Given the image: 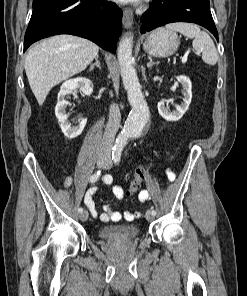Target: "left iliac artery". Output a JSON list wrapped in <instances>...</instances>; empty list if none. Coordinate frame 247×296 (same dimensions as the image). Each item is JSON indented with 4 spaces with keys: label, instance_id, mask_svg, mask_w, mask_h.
<instances>
[{
    "label": "left iliac artery",
    "instance_id": "44dca946",
    "mask_svg": "<svg viewBox=\"0 0 247 296\" xmlns=\"http://www.w3.org/2000/svg\"><path fill=\"white\" fill-rule=\"evenodd\" d=\"M120 158H121V152L120 151L114 152L112 154V160L114 161V163L118 164L120 162ZM151 212L154 215H156V211L155 210H152Z\"/></svg>",
    "mask_w": 247,
    "mask_h": 296
}]
</instances>
